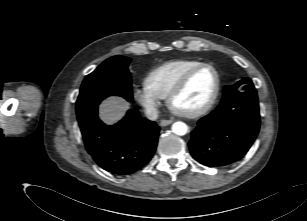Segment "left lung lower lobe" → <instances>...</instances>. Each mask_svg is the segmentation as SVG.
Masks as SVG:
<instances>
[{
    "instance_id": "1",
    "label": "left lung lower lobe",
    "mask_w": 307,
    "mask_h": 221,
    "mask_svg": "<svg viewBox=\"0 0 307 221\" xmlns=\"http://www.w3.org/2000/svg\"><path fill=\"white\" fill-rule=\"evenodd\" d=\"M260 127L256 93L222 100L201 118L191 132L189 148L199 163L217 167L240 160L256 139Z\"/></svg>"
}]
</instances>
